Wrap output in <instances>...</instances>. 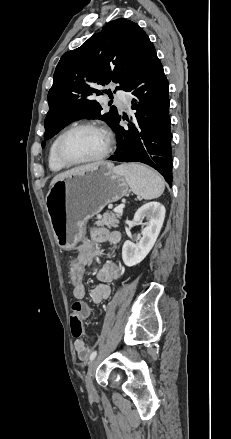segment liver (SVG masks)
I'll return each mask as SVG.
<instances>
[{
  "label": "liver",
  "mask_w": 231,
  "mask_h": 439,
  "mask_svg": "<svg viewBox=\"0 0 231 439\" xmlns=\"http://www.w3.org/2000/svg\"><path fill=\"white\" fill-rule=\"evenodd\" d=\"M99 163H101V162H99ZM99 163H91V164H87V165H82V166H79V167H75V168H73V169H70V170H68V171H65V172L59 173V174H57V175L52 179V181H51V183H50V187H52L57 181H60V180H62V179H64V178H66V177H68V176H70V175L76 174V173H78V172H81V171H85V170L91 169V168L95 167L96 165H98Z\"/></svg>",
  "instance_id": "6515ba94"
}]
</instances>
